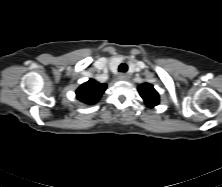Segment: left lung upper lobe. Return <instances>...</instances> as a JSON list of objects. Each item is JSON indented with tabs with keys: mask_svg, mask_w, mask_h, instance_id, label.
<instances>
[{
	"mask_svg": "<svg viewBox=\"0 0 222 187\" xmlns=\"http://www.w3.org/2000/svg\"><path fill=\"white\" fill-rule=\"evenodd\" d=\"M138 91L148 107L152 108L159 104V94L154 89L153 85L149 83H143L138 87Z\"/></svg>",
	"mask_w": 222,
	"mask_h": 187,
	"instance_id": "1",
	"label": "left lung upper lobe"
}]
</instances>
